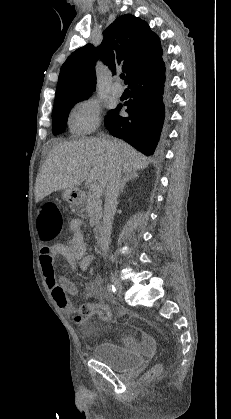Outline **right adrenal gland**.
<instances>
[{
    "label": "right adrenal gland",
    "instance_id": "2a0ac1e0",
    "mask_svg": "<svg viewBox=\"0 0 231 419\" xmlns=\"http://www.w3.org/2000/svg\"><path fill=\"white\" fill-rule=\"evenodd\" d=\"M136 178H139V175L135 171L131 172V173L124 174V176L122 178V181H121L120 193H123L124 187L129 180H134Z\"/></svg>",
    "mask_w": 231,
    "mask_h": 419
}]
</instances>
